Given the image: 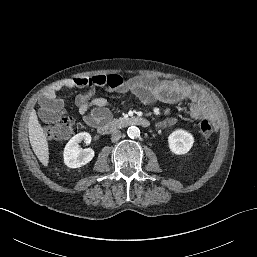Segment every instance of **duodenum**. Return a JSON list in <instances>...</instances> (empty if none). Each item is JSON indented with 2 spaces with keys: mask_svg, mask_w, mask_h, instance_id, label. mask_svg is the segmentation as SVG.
Returning <instances> with one entry per match:
<instances>
[{
  "mask_svg": "<svg viewBox=\"0 0 257 257\" xmlns=\"http://www.w3.org/2000/svg\"><path fill=\"white\" fill-rule=\"evenodd\" d=\"M140 126V127H148L149 126V121L143 117H138V116H132V117H126L122 119H115L111 121H106L101 123L98 126V132L101 134H110L113 131L125 127V126Z\"/></svg>",
  "mask_w": 257,
  "mask_h": 257,
  "instance_id": "obj_1",
  "label": "duodenum"
}]
</instances>
